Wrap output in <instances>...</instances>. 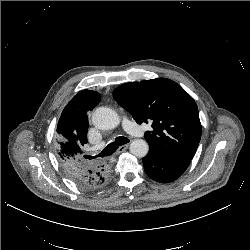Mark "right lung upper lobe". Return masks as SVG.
<instances>
[{
	"mask_svg": "<svg viewBox=\"0 0 250 250\" xmlns=\"http://www.w3.org/2000/svg\"><path fill=\"white\" fill-rule=\"evenodd\" d=\"M100 94L96 91L82 90L64 108L57 125L58 154L64 169L69 171L92 168L103 172L106 164L94 157L84 155L83 147L87 143V113L100 102Z\"/></svg>",
	"mask_w": 250,
	"mask_h": 250,
	"instance_id": "cb5924a9",
	"label": "right lung upper lobe"
}]
</instances>
